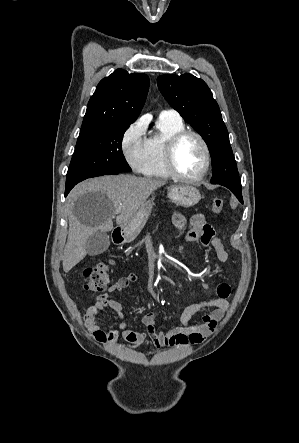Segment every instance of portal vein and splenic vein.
I'll return each instance as SVG.
<instances>
[{"instance_id":"18ae733b","label":"portal vein and splenic vein","mask_w":299,"mask_h":443,"mask_svg":"<svg viewBox=\"0 0 299 443\" xmlns=\"http://www.w3.org/2000/svg\"><path fill=\"white\" fill-rule=\"evenodd\" d=\"M116 212H117V213H119V212H120V210H116Z\"/></svg>"}]
</instances>
